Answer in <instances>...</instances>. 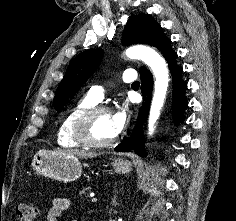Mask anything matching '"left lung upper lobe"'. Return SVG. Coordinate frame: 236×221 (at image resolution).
I'll return each mask as SVG.
<instances>
[{"label":"left lung upper lobe","mask_w":236,"mask_h":221,"mask_svg":"<svg viewBox=\"0 0 236 221\" xmlns=\"http://www.w3.org/2000/svg\"><path fill=\"white\" fill-rule=\"evenodd\" d=\"M163 35L161 26L149 15H131L123 31V45L148 44L153 46ZM103 50H86L77 55L69 64L54 97V108L61 112L72 97L98 68Z\"/></svg>","instance_id":"5c2ea615"}]
</instances>
